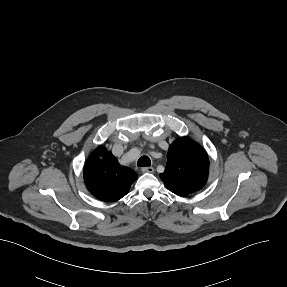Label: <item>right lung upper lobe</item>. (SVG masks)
I'll use <instances>...</instances> for the list:
<instances>
[{
  "label": "right lung upper lobe",
  "mask_w": 287,
  "mask_h": 287,
  "mask_svg": "<svg viewBox=\"0 0 287 287\" xmlns=\"http://www.w3.org/2000/svg\"><path fill=\"white\" fill-rule=\"evenodd\" d=\"M138 178L128 167L121 166L105 147H98L84 165V181L88 190L103 201H117L125 196Z\"/></svg>",
  "instance_id": "cb5924a9"
}]
</instances>
